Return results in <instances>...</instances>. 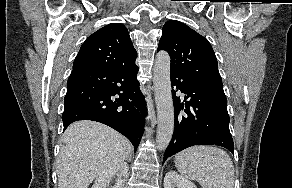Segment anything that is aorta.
<instances>
[{"label":"aorta","mask_w":292,"mask_h":188,"mask_svg":"<svg viewBox=\"0 0 292 188\" xmlns=\"http://www.w3.org/2000/svg\"><path fill=\"white\" fill-rule=\"evenodd\" d=\"M154 95L157 107L156 146L164 150L169 145L174 131V105L170 80V57L166 51H159L153 68Z\"/></svg>","instance_id":"obj_1"}]
</instances>
